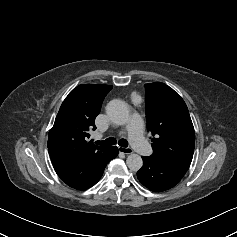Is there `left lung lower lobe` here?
<instances>
[{
	"label": "left lung lower lobe",
	"instance_id": "1",
	"mask_svg": "<svg viewBox=\"0 0 237 237\" xmlns=\"http://www.w3.org/2000/svg\"><path fill=\"white\" fill-rule=\"evenodd\" d=\"M142 159L143 166L137 172V177L144 186L154 192L174 187L186 172L151 157H142Z\"/></svg>",
	"mask_w": 237,
	"mask_h": 237
}]
</instances>
